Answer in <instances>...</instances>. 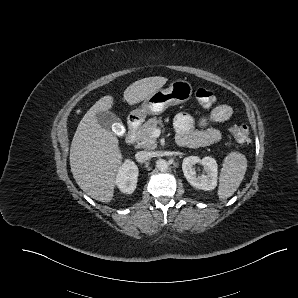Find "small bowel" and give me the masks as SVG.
I'll return each instance as SVG.
<instances>
[{
  "label": "small bowel",
  "mask_w": 298,
  "mask_h": 298,
  "mask_svg": "<svg viewBox=\"0 0 298 298\" xmlns=\"http://www.w3.org/2000/svg\"><path fill=\"white\" fill-rule=\"evenodd\" d=\"M233 114L232 108L227 104H220L214 107L208 117L200 120L199 125L202 130H194V121L187 113H180L175 117L174 126L178 134H189L197 136L202 144L201 146L213 144L221 140L219 130L210 127L213 123H222L231 118Z\"/></svg>",
  "instance_id": "1"
}]
</instances>
